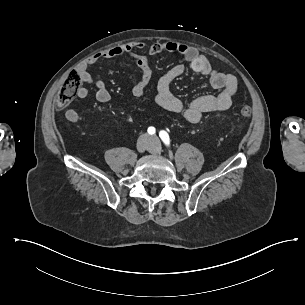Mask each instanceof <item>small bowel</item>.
<instances>
[{"mask_svg": "<svg viewBox=\"0 0 305 305\" xmlns=\"http://www.w3.org/2000/svg\"><path fill=\"white\" fill-rule=\"evenodd\" d=\"M145 48L144 42L132 41L89 56L80 64L77 70L80 81L95 88L96 99L100 103H108L111 95L103 81L94 80L89 70L90 66L102 59L127 56L133 60L140 72L139 80L133 86L132 93L143 96L152 77L149 58L140 53ZM162 52L181 55L194 71L208 77L211 87L220 90V93L216 96H200L192 100L188 105H184L182 100L171 91V84L181 77L186 70L184 64H176L163 74L156 84L154 103L157 106L172 113L181 114L187 122L192 124L198 123L206 113L224 111L231 106L237 90V80L233 75L214 69L208 59L201 55L196 48L183 43L163 41L155 42L147 47L149 56H155ZM87 96L88 89L83 86L79 87L77 97L84 99ZM65 117L73 123L78 122L80 119L79 114L74 109L66 110Z\"/></svg>", "mask_w": 305, "mask_h": 305, "instance_id": "small-bowel-1", "label": "small bowel"}]
</instances>
